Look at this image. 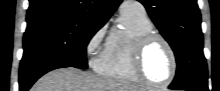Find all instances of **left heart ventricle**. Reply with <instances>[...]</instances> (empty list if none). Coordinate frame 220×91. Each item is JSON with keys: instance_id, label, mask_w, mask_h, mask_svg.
Segmentation results:
<instances>
[{"instance_id": "obj_1", "label": "left heart ventricle", "mask_w": 220, "mask_h": 91, "mask_svg": "<svg viewBox=\"0 0 220 91\" xmlns=\"http://www.w3.org/2000/svg\"><path fill=\"white\" fill-rule=\"evenodd\" d=\"M144 71L155 82H164L171 72V58L161 42L151 44L144 56Z\"/></svg>"}]
</instances>
